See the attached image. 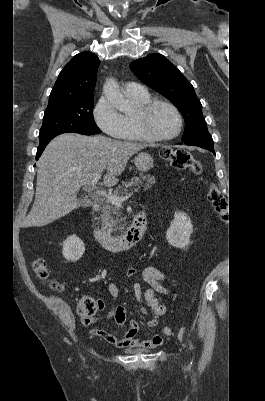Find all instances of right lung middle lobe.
I'll return each instance as SVG.
<instances>
[{
	"label": "right lung middle lobe",
	"mask_w": 265,
	"mask_h": 401,
	"mask_svg": "<svg viewBox=\"0 0 265 401\" xmlns=\"http://www.w3.org/2000/svg\"><path fill=\"white\" fill-rule=\"evenodd\" d=\"M94 96H82L53 105H48L39 140L43 141L56 133H79L93 135L100 133L93 118Z\"/></svg>",
	"instance_id": "obj_1"
}]
</instances>
